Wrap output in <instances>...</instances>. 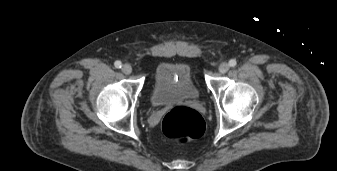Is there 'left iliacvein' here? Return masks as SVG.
<instances>
[{
  "instance_id": "left-iliac-vein-1",
  "label": "left iliac vein",
  "mask_w": 337,
  "mask_h": 171,
  "mask_svg": "<svg viewBox=\"0 0 337 171\" xmlns=\"http://www.w3.org/2000/svg\"><path fill=\"white\" fill-rule=\"evenodd\" d=\"M218 70L221 74L226 73L229 70V64L225 62L221 63Z\"/></svg>"
}]
</instances>
